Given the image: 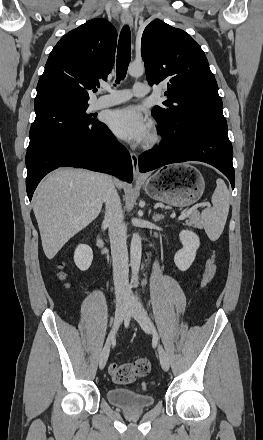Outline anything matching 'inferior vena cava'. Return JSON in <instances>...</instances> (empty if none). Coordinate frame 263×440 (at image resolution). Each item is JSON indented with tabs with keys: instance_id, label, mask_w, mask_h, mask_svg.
I'll return each mask as SVG.
<instances>
[{
	"instance_id": "inferior-vena-cava-1",
	"label": "inferior vena cava",
	"mask_w": 263,
	"mask_h": 440,
	"mask_svg": "<svg viewBox=\"0 0 263 440\" xmlns=\"http://www.w3.org/2000/svg\"><path fill=\"white\" fill-rule=\"evenodd\" d=\"M105 203V222L109 226L115 293L117 299L122 300L130 293L128 282V251L126 244L127 228L123 223L124 217L120 197L112 179L105 196Z\"/></svg>"
}]
</instances>
